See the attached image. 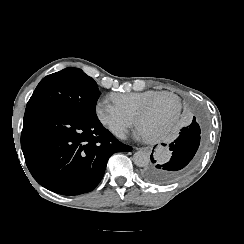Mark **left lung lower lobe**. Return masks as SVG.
<instances>
[{
    "instance_id": "obj_1",
    "label": "left lung lower lobe",
    "mask_w": 244,
    "mask_h": 244,
    "mask_svg": "<svg viewBox=\"0 0 244 244\" xmlns=\"http://www.w3.org/2000/svg\"><path fill=\"white\" fill-rule=\"evenodd\" d=\"M200 126L193 117L188 127L182 128L180 136L170 144L172 157L165 164H156L153 156L141 172L142 178L151 184L168 185L181 180L192 168L200 144ZM164 145V144H163Z\"/></svg>"
}]
</instances>
